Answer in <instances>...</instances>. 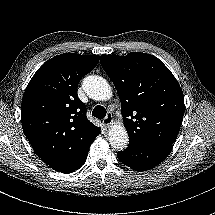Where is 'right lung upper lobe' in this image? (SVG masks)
<instances>
[{"label":"right lung upper lobe","instance_id":"cb5924a9","mask_svg":"<svg viewBox=\"0 0 215 215\" xmlns=\"http://www.w3.org/2000/svg\"><path fill=\"white\" fill-rule=\"evenodd\" d=\"M99 56L64 53L45 62L30 80L22 99L24 134L52 169L69 173L80 166L98 129L86 117L77 86Z\"/></svg>","mask_w":215,"mask_h":215}]
</instances>
